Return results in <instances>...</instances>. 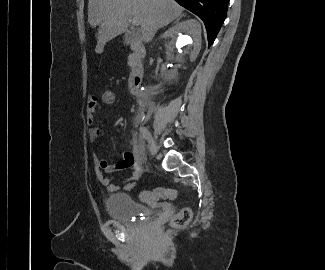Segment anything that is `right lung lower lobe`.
I'll return each mask as SVG.
<instances>
[{
	"mask_svg": "<svg viewBox=\"0 0 325 270\" xmlns=\"http://www.w3.org/2000/svg\"><path fill=\"white\" fill-rule=\"evenodd\" d=\"M202 19L208 36V46L214 42L227 14L229 0H175Z\"/></svg>",
	"mask_w": 325,
	"mask_h": 270,
	"instance_id": "obj_1",
	"label": "right lung lower lobe"
}]
</instances>
